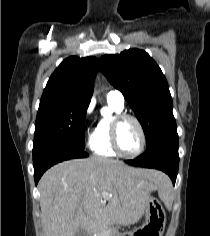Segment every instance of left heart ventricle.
<instances>
[{
    "label": "left heart ventricle",
    "mask_w": 210,
    "mask_h": 236,
    "mask_svg": "<svg viewBox=\"0 0 210 236\" xmlns=\"http://www.w3.org/2000/svg\"><path fill=\"white\" fill-rule=\"evenodd\" d=\"M119 144L126 154L135 153L141 144V136L137 124L130 119L124 120L119 128Z\"/></svg>",
    "instance_id": "left-heart-ventricle-1"
}]
</instances>
